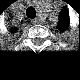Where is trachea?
Segmentation results:
<instances>
[{
	"label": "trachea",
	"instance_id": "3493384b",
	"mask_svg": "<svg viewBox=\"0 0 80 80\" xmlns=\"http://www.w3.org/2000/svg\"><path fill=\"white\" fill-rule=\"evenodd\" d=\"M26 15L28 18H35L36 17V11L33 7H29L26 10Z\"/></svg>",
	"mask_w": 80,
	"mask_h": 80
}]
</instances>
